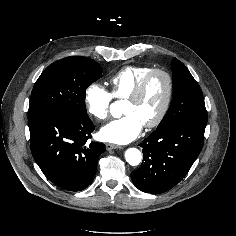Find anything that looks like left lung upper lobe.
Returning a JSON list of instances; mask_svg holds the SVG:
<instances>
[{
    "instance_id": "1",
    "label": "left lung upper lobe",
    "mask_w": 236,
    "mask_h": 236,
    "mask_svg": "<svg viewBox=\"0 0 236 236\" xmlns=\"http://www.w3.org/2000/svg\"><path fill=\"white\" fill-rule=\"evenodd\" d=\"M173 98L157 129L177 124H207L208 116L202 90L189 70L178 59L172 61Z\"/></svg>"
}]
</instances>
